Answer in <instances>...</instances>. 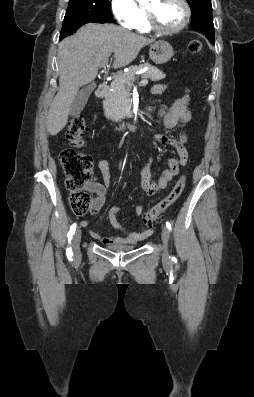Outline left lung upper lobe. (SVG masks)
<instances>
[{
    "label": "left lung upper lobe",
    "instance_id": "left-lung-upper-lobe-1",
    "mask_svg": "<svg viewBox=\"0 0 254 397\" xmlns=\"http://www.w3.org/2000/svg\"><path fill=\"white\" fill-rule=\"evenodd\" d=\"M192 11L190 26L207 34H215L211 0H187Z\"/></svg>",
    "mask_w": 254,
    "mask_h": 397
}]
</instances>
